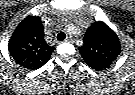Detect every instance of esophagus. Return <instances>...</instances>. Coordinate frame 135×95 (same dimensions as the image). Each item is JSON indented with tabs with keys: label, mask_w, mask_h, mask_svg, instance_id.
<instances>
[{
	"label": "esophagus",
	"mask_w": 135,
	"mask_h": 95,
	"mask_svg": "<svg viewBox=\"0 0 135 95\" xmlns=\"http://www.w3.org/2000/svg\"><path fill=\"white\" fill-rule=\"evenodd\" d=\"M65 42H74V38L69 36L65 39Z\"/></svg>",
	"instance_id": "obj_1"
}]
</instances>
